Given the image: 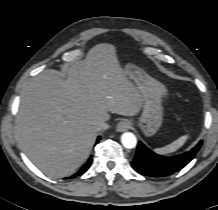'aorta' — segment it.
Masks as SVG:
<instances>
[{
  "mask_svg": "<svg viewBox=\"0 0 218 210\" xmlns=\"http://www.w3.org/2000/svg\"><path fill=\"white\" fill-rule=\"evenodd\" d=\"M121 142L125 148L132 149L137 144L136 136L131 132H125L121 136Z\"/></svg>",
  "mask_w": 218,
  "mask_h": 210,
  "instance_id": "762f6f07",
  "label": "aorta"
}]
</instances>
